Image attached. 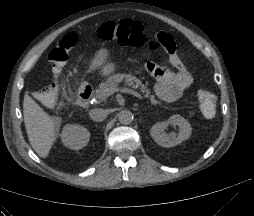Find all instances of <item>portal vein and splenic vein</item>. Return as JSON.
<instances>
[{
  "label": "portal vein and splenic vein",
  "mask_w": 254,
  "mask_h": 216,
  "mask_svg": "<svg viewBox=\"0 0 254 216\" xmlns=\"http://www.w3.org/2000/svg\"><path fill=\"white\" fill-rule=\"evenodd\" d=\"M107 92H108L109 95L113 94L115 92L129 93V94H132V95L136 96L139 99H143V97L138 92H136L134 90H131V89H128V88L108 89Z\"/></svg>",
  "instance_id": "18ae733b"
}]
</instances>
